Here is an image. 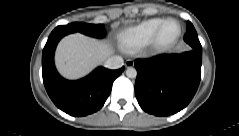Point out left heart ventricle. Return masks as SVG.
<instances>
[{
  "instance_id": "b2bd125f",
  "label": "left heart ventricle",
  "mask_w": 239,
  "mask_h": 136,
  "mask_svg": "<svg viewBox=\"0 0 239 136\" xmlns=\"http://www.w3.org/2000/svg\"><path fill=\"white\" fill-rule=\"evenodd\" d=\"M178 34V27L176 24L172 23L169 24L163 31L162 33V37L161 40L164 43H168L171 42L172 40H174L176 38Z\"/></svg>"
}]
</instances>
